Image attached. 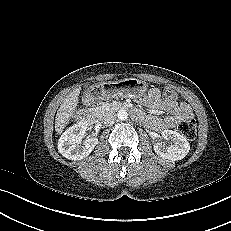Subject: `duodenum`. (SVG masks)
<instances>
[{"mask_svg": "<svg viewBox=\"0 0 231 231\" xmlns=\"http://www.w3.org/2000/svg\"><path fill=\"white\" fill-rule=\"evenodd\" d=\"M108 88H104V91H107ZM117 108L120 110H131L132 111V115L135 119L137 120H141L142 119V113L136 110H132V107L130 104L127 103H122L117 105ZM96 118V115L93 111L92 108H88L86 109L83 117H82V121H88V122H93Z\"/></svg>", "mask_w": 231, "mask_h": 231, "instance_id": "duodenum-1", "label": "duodenum"}]
</instances>
